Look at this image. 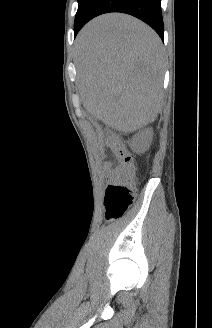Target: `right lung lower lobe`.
<instances>
[{
  "instance_id": "1",
  "label": "right lung lower lobe",
  "mask_w": 212,
  "mask_h": 328,
  "mask_svg": "<svg viewBox=\"0 0 212 328\" xmlns=\"http://www.w3.org/2000/svg\"><path fill=\"white\" fill-rule=\"evenodd\" d=\"M109 12H121L135 16L151 26L163 39L161 0H95L84 21L74 30L75 36L92 18Z\"/></svg>"
}]
</instances>
